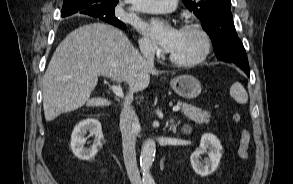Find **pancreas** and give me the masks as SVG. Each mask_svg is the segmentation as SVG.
Segmentation results:
<instances>
[{
    "label": "pancreas",
    "mask_w": 293,
    "mask_h": 184,
    "mask_svg": "<svg viewBox=\"0 0 293 184\" xmlns=\"http://www.w3.org/2000/svg\"><path fill=\"white\" fill-rule=\"evenodd\" d=\"M177 105L181 107L183 115L191 121L197 124L209 123L210 113L208 111H203L200 108L181 101H178Z\"/></svg>",
    "instance_id": "cf45deb5"
}]
</instances>
